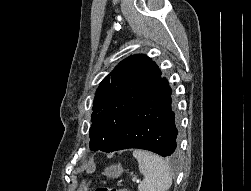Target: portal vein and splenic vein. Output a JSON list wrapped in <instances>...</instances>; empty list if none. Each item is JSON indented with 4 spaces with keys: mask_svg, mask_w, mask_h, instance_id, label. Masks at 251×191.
Returning <instances> with one entry per match:
<instances>
[{
    "mask_svg": "<svg viewBox=\"0 0 251 191\" xmlns=\"http://www.w3.org/2000/svg\"><path fill=\"white\" fill-rule=\"evenodd\" d=\"M136 181H139V179H136V177H133V179L131 180V183H132V184H135Z\"/></svg>",
    "mask_w": 251,
    "mask_h": 191,
    "instance_id": "portal-vein-and-splenic-vein-1",
    "label": "portal vein and splenic vein"
}]
</instances>
